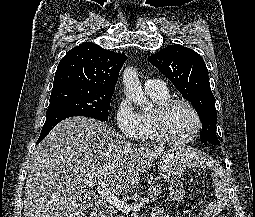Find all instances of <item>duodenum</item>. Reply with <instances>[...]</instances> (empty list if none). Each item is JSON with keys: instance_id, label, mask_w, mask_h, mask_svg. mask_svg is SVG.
<instances>
[{"instance_id": "duodenum-1", "label": "duodenum", "mask_w": 255, "mask_h": 217, "mask_svg": "<svg viewBox=\"0 0 255 217\" xmlns=\"http://www.w3.org/2000/svg\"><path fill=\"white\" fill-rule=\"evenodd\" d=\"M90 217H105L103 211H96Z\"/></svg>"}]
</instances>
